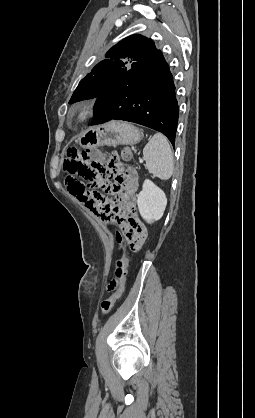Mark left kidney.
<instances>
[{
  "label": "left kidney",
  "instance_id": "obj_1",
  "mask_svg": "<svg viewBox=\"0 0 255 418\" xmlns=\"http://www.w3.org/2000/svg\"><path fill=\"white\" fill-rule=\"evenodd\" d=\"M137 204L141 217L146 222L153 223L163 216L167 198L159 187L151 180L146 179L142 191L137 196Z\"/></svg>",
  "mask_w": 255,
  "mask_h": 418
}]
</instances>
